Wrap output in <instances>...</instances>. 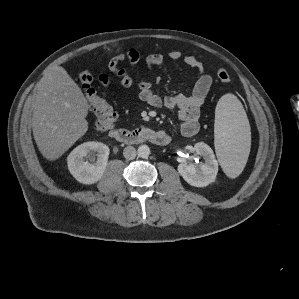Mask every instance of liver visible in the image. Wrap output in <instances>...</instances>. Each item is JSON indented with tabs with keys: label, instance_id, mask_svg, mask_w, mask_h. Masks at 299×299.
I'll return each instance as SVG.
<instances>
[{
	"label": "liver",
	"instance_id": "obj_1",
	"mask_svg": "<svg viewBox=\"0 0 299 299\" xmlns=\"http://www.w3.org/2000/svg\"><path fill=\"white\" fill-rule=\"evenodd\" d=\"M33 108V136L49 161L61 157L88 130L87 100L61 66L47 68L37 86Z\"/></svg>",
	"mask_w": 299,
	"mask_h": 299
}]
</instances>
